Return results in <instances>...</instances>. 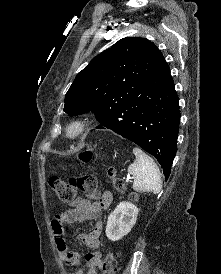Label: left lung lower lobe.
I'll use <instances>...</instances> for the list:
<instances>
[{
	"instance_id": "1",
	"label": "left lung lower lobe",
	"mask_w": 221,
	"mask_h": 274,
	"mask_svg": "<svg viewBox=\"0 0 221 274\" xmlns=\"http://www.w3.org/2000/svg\"><path fill=\"white\" fill-rule=\"evenodd\" d=\"M97 119V128L110 129L153 155L168 179L176 155L180 112L166 61L146 80L137 96Z\"/></svg>"
}]
</instances>
